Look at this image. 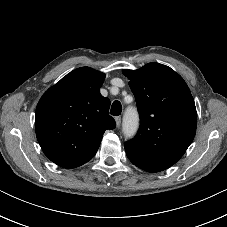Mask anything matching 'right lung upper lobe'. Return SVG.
Listing matches in <instances>:
<instances>
[{"label": "right lung upper lobe", "instance_id": "1", "mask_svg": "<svg viewBox=\"0 0 227 227\" xmlns=\"http://www.w3.org/2000/svg\"><path fill=\"white\" fill-rule=\"evenodd\" d=\"M105 74L89 67L73 70L41 97L35 114L38 142L49 160L75 168L96 154L103 134L116 127L110 100L100 94Z\"/></svg>", "mask_w": 227, "mask_h": 227}]
</instances>
